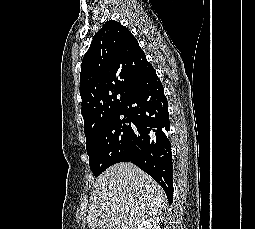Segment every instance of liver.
Wrapping results in <instances>:
<instances>
[{"label": "liver", "mask_w": 255, "mask_h": 229, "mask_svg": "<svg viewBox=\"0 0 255 229\" xmlns=\"http://www.w3.org/2000/svg\"><path fill=\"white\" fill-rule=\"evenodd\" d=\"M91 196L87 223L92 229H137L166 204L161 186L130 162L117 163L102 173Z\"/></svg>", "instance_id": "liver-1"}]
</instances>
